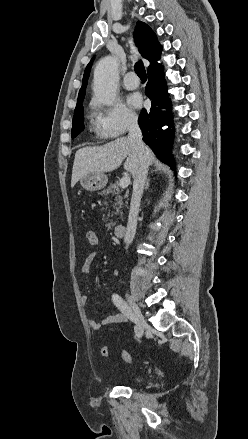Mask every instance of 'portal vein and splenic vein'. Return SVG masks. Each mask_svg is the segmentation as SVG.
I'll use <instances>...</instances> for the list:
<instances>
[{
  "instance_id": "18ae733b",
  "label": "portal vein and splenic vein",
  "mask_w": 248,
  "mask_h": 439,
  "mask_svg": "<svg viewBox=\"0 0 248 439\" xmlns=\"http://www.w3.org/2000/svg\"><path fill=\"white\" fill-rule=\"evenodd\" d=\"M130 184V177L129 176H123L120 180V187L121 188H127Z\"/></svg>"
}]
</instances>
